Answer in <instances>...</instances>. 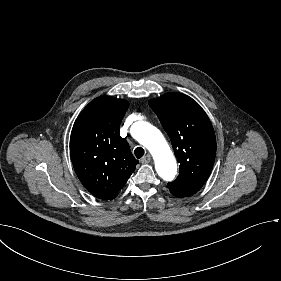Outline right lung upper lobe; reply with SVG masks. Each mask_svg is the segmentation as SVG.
<instances>
[{"mask_svg":"<svg viewBox=\"0 0 281 281\" xmlns=\"http://www.w3.org/2000/svg\"><path fill=\"white\" fill-rule=\"evenodd\" d=\"M127 108L124 99L98 97L83 109L71 132L74 170L84 187L103 200L115 197L138 164L119 132Z\"/></svg>","mask_w":281,"mask_h":281,"instance_id":"obj_1","label":"right lung upper lobe"}]
</instances>
